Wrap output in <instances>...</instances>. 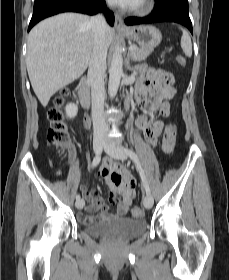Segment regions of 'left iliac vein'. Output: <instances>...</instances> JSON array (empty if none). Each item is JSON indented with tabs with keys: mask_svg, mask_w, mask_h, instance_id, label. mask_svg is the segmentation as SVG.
Returning <instances> with one entry per match:
<instances>
[{
	"mask_svg": "<svg viewBox=\"0 0 229 280\" xmlns=\"http://www.w3.org/2000/svg\"><path fill=\"white\" fill-rule=\"evenodd\" d=\"M104 150L109 156L115 159H119L122 161L127 159L126 152L122 146H110L106 144L104 146ZM143 205L146 209H150L153 206V197L151 194L145 195V197L143 198Z\"/></svg>",
	"mask_w": 229,
	"mask_h": 280,
	"instance_id": "4c4485c4",
	"label": "left iliac vein"
}]
</instances>
